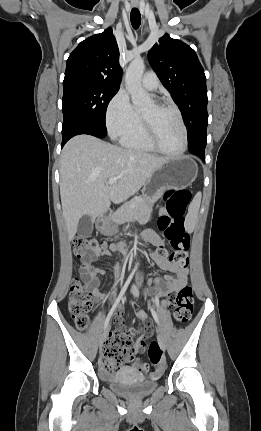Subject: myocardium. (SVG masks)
<instances>
[{"label":"myocardium","mask_w":261,"mask_h":431,"mask_svg":"<svg viewBox=\"0 0 261 431\" xmlns=\"http://www.w3.org/2000/svg\"><path fill=\"white\" fill-rule=\"evenodd\" d=\"M154 105L158 109H169V110H172L176 114L178 121L180 123L181 129H182L183 144H182L181 149L175 153H170V152L164 150L160 146V144L158 143L153 125L151 124V122L147 118H145L143 115H141V120H142V124H143V128H144L146 137H147L148 141L151 143V145L155 148V150L158 151L159 153L166 155L168 157H171V158H178L186 152L187 147H188V132H187V128H186L185 122L183 120L182 114L176 106H174L170 103H167V102L155 101Z\"/></svg>","instance_id":"f54148a6"}]
</instances>
